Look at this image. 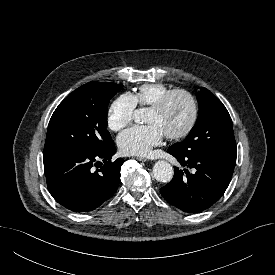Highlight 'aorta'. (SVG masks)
<instances>
[{"instance_id":"762f6f07","label":"aorta","mask_w":275,"mask_h":275,"mask_svg":"<svg viewBox=\"0 0 275 275\" xmlns=\"http://www.w3.org/2000/svg\"><path fill=\"white\" fill-rule=\"evenodd\" d=\"M145 114V108L136 109L133 115L134 121L136 123H143L145 121ZM173 174L172 166L164 160L157 161L153 166V176L159 182H169L173 178Z\"/></svg>"}]
</instances>
